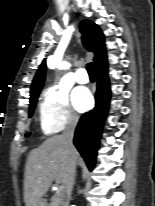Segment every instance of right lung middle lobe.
<instances>
[{"instance_id":"1","label":"right lung middle lobe","mask_w":155,"mask_h":206,"mask_svg":"<svg viewBox=\"0 0 155 206\" xmlns=\"http://www.w3.org/2000/svg\"><path fill=\"white\" fill-rule=\"evenodd\" d=\"M38 95L39 94H37L34 97L30 98L29 117H31L32 114H33V111H34V108H35V105H36V102H37ZM26 136H29V133H27Z\"/></svg>"}]
</instances>
